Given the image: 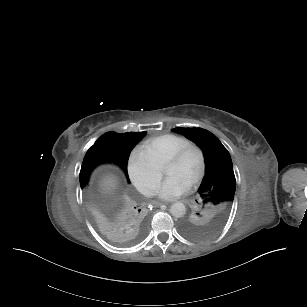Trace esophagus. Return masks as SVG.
<instances>
[{
    "label": "esophagus",
    "instance_id": "obj_1",
    "mask_svg": "<svg viewBox=\"0 0 307 307\" xmlns=\"http://www.w3.org/2000/svg\"><path fill=\"white\" fill-rule=\"evenodd\" d=\"M155 205H157V206H161L162 205V203L161 202H156V204Z\"/></svg>",
    "mask_w": 307,
    "mask_h": 307
}]
</instances>
